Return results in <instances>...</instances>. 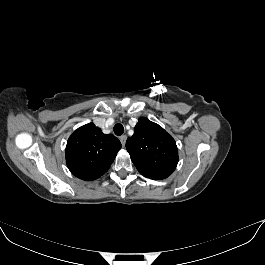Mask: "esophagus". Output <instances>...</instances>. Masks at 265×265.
<instances>
[{
    "instance_id": "obj_1",
    "label": "esophagus",
    "mask_w": 265,
    "mask_h": 265,
    "mask_svg": "<svg viewBox=\"0 0 265 265\" xmlns=\"http://www.w3.org/2000/svg\"><path fill=\"white\" fill-rule=\"evenodd\" d=\"M126 140H127V136L126 135H122L120 137V141H121V144H122L123 147L125 146Z\"/></svg>"
}]
</instances>
